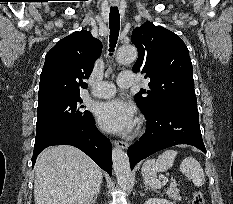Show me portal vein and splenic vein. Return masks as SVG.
Returning a JSON list of instances; mask_svg holds the SVG:
<instances>
[{
  "mask_svg": "<svg viewBox=\"0 0 233 204\" xmlns=\"http://www.w3.org/2000/svg\"><path fill=\"white\" fill-rule=\"evenodd\" d=\"M168 182V178L164 177L163 178V184L165 185ZM170 186H174V183H171Z\"/></svg>",
  "mask_w": 233,
  "mask_h": 204,
  "instance_id": "obj_1",
  "label": "portal vein and splenic vein"
}]
</instances>
